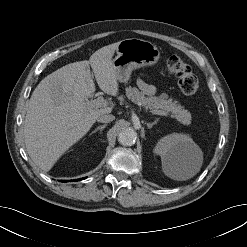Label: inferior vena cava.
<instances>
[{
	"instance_id": "602c4592",
	"label": "inferior vena cava",
	"mask_w": 247,
	"mask_h": 247,
	"mask_svg": "<svg viewBox=\"0 0 247 247\" xmlns=\"http://www.w3.org/2000/svg\"><path fill=\"white\" fill-rule=\"evenodd\" d=\"M114 119L115 117L112 114H100L96 120L101 123H109Z\"/></svg>"
}]
</instances>
